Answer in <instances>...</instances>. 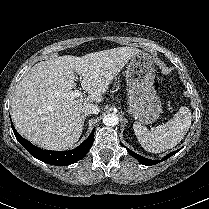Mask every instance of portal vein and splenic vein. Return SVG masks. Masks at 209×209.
<instances>
[{
    "label": "portal vein and splenic vein",
    "instance_id": "18ae733b",
    "mask_svg": "<svg viewBox=\"0 0 209 209\" xmlns=\"http://www.w3.org/2000/svg\"><path fill=\"white\" fill-rule=\"evenodd\" d=\"M57 95H60L59 93ZM82 95V92L79 90L71 91L69 93L61 94L62 97L66 98H76Z\"/></svg>",
    "mask_w": 209,
    "mask_h": 209
}]
</instances>
